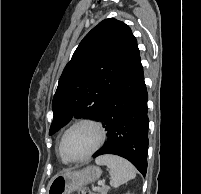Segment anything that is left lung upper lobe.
Returning a JSON list of instances; mask_svg holds the SVG:
<instances>
[{"label":"left lung upper lobe","mask_w":201,"mask_h":194,"mask_svg":"<svg viewBox=\"0 0 201 194\" xmlns=\"http://www.w3.org/2000/svg\"><path fill=\"white\" fill-rule=\"evenodd\" d=\"M138 55L137 40L125 23L108 18L94 27L59 79L49 135L73 117L97 119Z\"/></svg>","instance_id":"5c2ea615"}]
</instances>
